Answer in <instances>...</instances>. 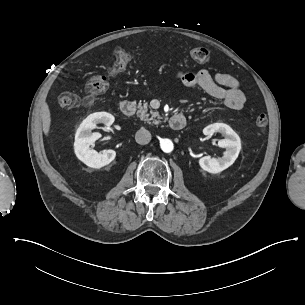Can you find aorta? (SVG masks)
<instances>
[{"label":"aorta","instance_id":"aorta-1","mask_svg":"<svg viewBox=\"0 0 305 305\" xmlns=\"http://www.w3.org/2000/svg\"><path fill=\"white\" fill-rule=\"evenodd\" d=\"M160 147H161L162 151L165 153L172 152V150L174 148L173 143L170 139H162L160 141Z\"/></svg>","mask_w":305,"mask_h":305}]
</instances>
